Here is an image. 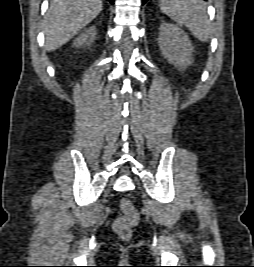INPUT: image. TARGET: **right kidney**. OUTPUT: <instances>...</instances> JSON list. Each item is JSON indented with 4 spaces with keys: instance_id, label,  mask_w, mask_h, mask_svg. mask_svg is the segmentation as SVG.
Here are the masks:
<instances>
[{
    "instance_id": "right-kidney-1",
    "label": "right kidney",
    "mask_w": 254,
    "mask_h": 267,
    "mask_svg": "<svg viewBox=\"0 0 254 267\" xmlns=\"http://www.w3.org/2000/svg\"><path fill=\"white\" fill-rule=\"evenodd\" d=\"M96 28L90 27L84 33H82L73 43L75 47H81L83 45H91L96 38Z\"/></svg>"
}]
</instances>
